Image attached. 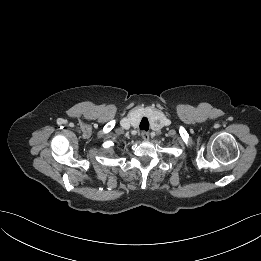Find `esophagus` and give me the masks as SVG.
Returning <instances> with one entry per match:
<instances>
[{
    "label": "esophagus",
    "mask_w": 261,
    "mask_h": 261,
    "mask_svg": "<svg viewBox=\"0 0 261 261\" xmlns=\"http://www.w3.org/2000/svg\"><path fill=\"white\" fill-rule=\"evenodd\" d=\"M141 137L143 140L148 141L149 140V133L146 131H142Z\"/></svg>",
    "instance_id": "34e87169"
}]
</instances>
